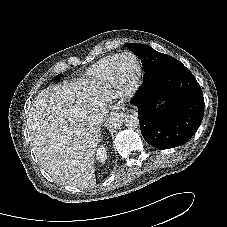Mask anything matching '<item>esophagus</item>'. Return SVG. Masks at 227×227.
<instances>
[{
	"label": "esophagus",
	"instance_id": "obj_1",
	"mask_svg": "<svg viewBox=\"0 0 227 227\" xmlns=\"http://www.w3.org/2000/svg\"><path fill=\"white\" fill-rule=\"evenodd\" d=\"M115 109H117L116 111H120V107H116Z\"/></svg>",
	"mask_w": 227,
	"mask_h": 227
}]
</instances>
